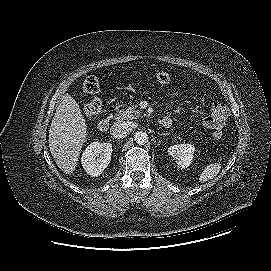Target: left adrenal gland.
I'll use <instances>...</instances> for the list:
<instances>
[{
	"label": "left adrenal gland",
	"instance_id": "obj_1",
	"mask_svg": "<svg viewBox=\"0 0 271 271\" xmlns=\"http://www.w3.org/2000/svg\"><path fill=\"white\" fill-rule=\"evenodd\" d=\"M161 136H167V135H169L168 133H162V134H160Z\"/></svg>",
	"mask_w": 271,
	"mask_h": 271
}]
</instances>
